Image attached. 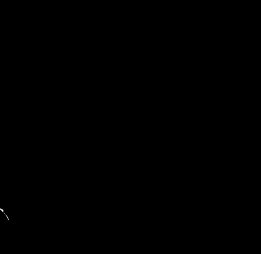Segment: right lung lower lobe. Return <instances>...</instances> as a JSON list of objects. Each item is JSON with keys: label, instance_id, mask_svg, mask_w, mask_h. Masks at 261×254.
Wrapping results in <instances>:
<instances>
[{"label": "right lung lower lobe", "instance_id": "98d812e1", "mask_svg": "<svg viewBox=\"0 0 261 254\" xmlns=\"http://www.w3.org/2000/svg\"><path fill=\"white\" fill-rule=\"evenodd\" d=\"M95 143L78 127L61 126L45 137L50 173L62 192L91 199L99 196L106 176L103 160L91 158Z\"/></svg>", "mask_w": 261, "mask_h": 254}]
</instances>
